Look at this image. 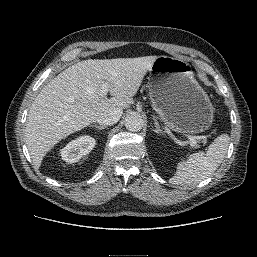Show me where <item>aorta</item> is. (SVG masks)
<instances>
[{"instance_id":"1","label":"aorta","mask_w":257,"mask_h":257,"mask_svg":"<svg viewBox=\"0 0 257 257\" xmlns=\"http://www.w3.org/2000/svg\"><path fill=\"white\" fill-rule=\"evenodd\" d=\"M144 121L142 116L137 112H130L125 117V127L132 132L140 131Z\"/></svg>"}]
</instances>
